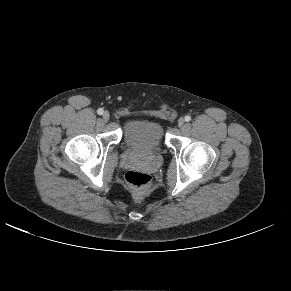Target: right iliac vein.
Segmentation results:
<instances>
[{
  "mask_svg": "<svg viewBox=\"0 0 291 291\" xmlns=\"http://www.w3.org/2000/svg\"><path fill=\"white\" fill-rule=\"evenodd\" d=\"M103 121L107 122L110 118L109 112L105 111L102 115Z\"/></svg>",
  "mask_w": 291,
  "mask_h": 291,
  "instance_id": "1",
  "label": "right iliac vein"
}]
</instances>
